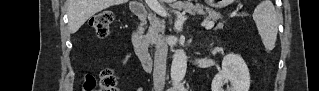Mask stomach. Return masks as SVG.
<instances>
[{
  "instance_id": "obj_1",
  "label": "stomach",
  "mask_w": 319,
  "mask_h": 91,
  "mask_svg": "<svg viewBox=\"0 0 319 91\" xmlns=\"http://www.w3.org/2000/svg\"><path fill=\"white\" fill-rule=\"evenodd\" d=\"M224 5H225V3H223V2H217V1L211 3V6H213V7H222V6H224Z\"/></svg>"
}]
</instances>
